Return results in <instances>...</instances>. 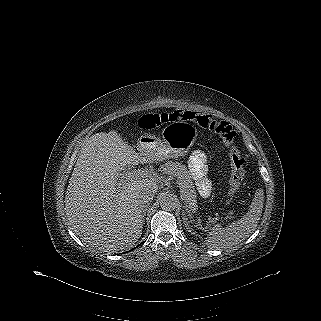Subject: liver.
<instances>
[{
    "mask_svg": "<svg viewBox=\"0 0 321 321\" xmlns=\"http://www.w3.org/2000/svg\"><path fill=\"white\" fill-rule=\"evenodd\" d=\"M142 155L117 131L92 135L83 145L65 196V209L74 232L87 244L106 252L133 245L141 237L144 186L158 188L155 178L125 173Z\"/></svg>",
    "mask_w": 321,
    "mask_h": 321,
    "instance_id": "liver-1",
    "label": "liver"
}]
</instances>
